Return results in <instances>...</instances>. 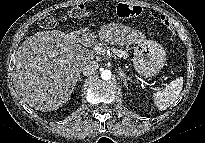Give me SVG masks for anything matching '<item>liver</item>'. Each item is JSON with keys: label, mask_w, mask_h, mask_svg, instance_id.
Returning <instances> with one entry per match:
<instances>
[{"label": "liver", "mask_w": 205, "mask_h": 143, "mask_svg": "<svg viewBox=\"0 0 205 143\" xmlns=\"http://www.w3.org/2000/svg\"><path fill=\"white\" fill-rule=\"evenodd\" d=\"M79 34L80 30L69 34L41 31L22 43L14 54L12 73L21 103L45 112L57 110L70 100L82 67L95 57L78 44L82 43ZM98 37L105 44L119 46L146 40L144 34L114 23L103 25Z\"/></svg>", "instance_id": "obj_1"}]
</instances>
